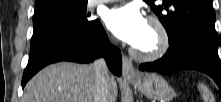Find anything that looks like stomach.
<instances>
[{
    "mask_svg": "<svg viewBox=\"0 0 221 102\" xmlns=\"http://www.w3.org/2000/svg\"><path fill=\"white\" fill-rule=\"evenodd\" d=\"M129 83L141 94L154 100L170 102L175 97L174 89L158 74H145L137 80H129Z\"/></svg>",
    "mask_w": 221,
    "mask_h": 102,
    "instance_id": "1",
    "label": "stomach"
}]
</instances>
